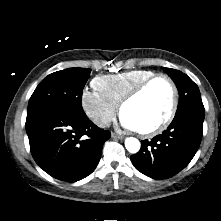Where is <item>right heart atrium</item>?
<instances>
[{
  "label": "right heart atrium",
  "instance_id": "obj_1",
  "mask_svg": "<svg viewBox=\"0 0 221 221\" xmlns=\"http://www.w3.org/2000/svg\"><path fill=\"white\" fill-rule=\"evenodd\" d=\"M81 104L89 119L99 127H106L114 119L117 105L96 90H84Z\"/></svg>",
  "mask_w": 221,
  "mask_h": 221
}]
</instances>
